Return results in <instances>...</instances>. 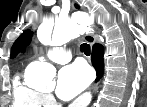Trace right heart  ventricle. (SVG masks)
<instances>
[{
	"instance_id": "e07e8e85",
	"label": "right heart ventricle",
	"mask_w": 147,
	"mask_h": 107,
	"mask_svg": "<svg viewBox=\"0 0 147 107\" xmlns=\"http://www.w3.org/2000/svg\"><path fill=\"white\" fill-rule=\"evenodd\" d=\"M12 98L14 107H42L46 104L43 94L22 82L20 75L13 79Z\"/></svg>"
}]
</instances>
